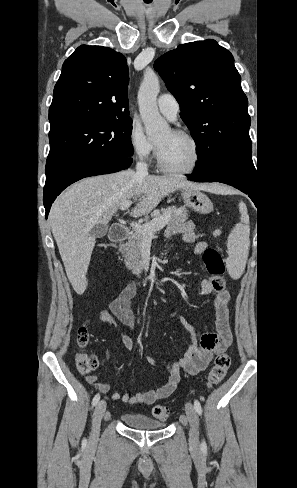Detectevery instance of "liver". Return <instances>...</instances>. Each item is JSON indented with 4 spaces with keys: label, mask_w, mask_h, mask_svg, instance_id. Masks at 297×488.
Instances as JSON below:
<instances>
[{
    "label": "liver",
    "mask_w": 297,
    "mask_h": 488,
    "mask_svg": "<svg viewBox=\"0 0 297 488\" xmlns=\"http://www.w3.org/2000/svg\"><path fill=\"white\" fill-rule=\"evenodd\" d=\"M216 189L181 176H139L128 169L114 174L83 179L73 184L53 203L49 213L52 234L75 292L87 288L86 274L96 239L90 235L95 224H108L126 200L139 201L131 216L150 213L168 194L178 189Z\"/></svg>",
    "instance_id": "1"
}]
</instances>
